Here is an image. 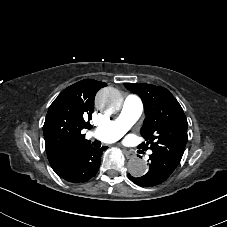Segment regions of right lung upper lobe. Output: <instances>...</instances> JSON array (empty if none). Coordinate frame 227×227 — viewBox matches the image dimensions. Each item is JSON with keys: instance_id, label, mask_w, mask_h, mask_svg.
<instances>
[{"instance_id": "1", "label": "right lung upper lobe", "mask_w": 227, "mask_h": 227, "mask_svg": "<svg viewBox=\"0 0 227 227\" xmlns=\"http://www.w3.org/2000/svg\"><path fill=\"white\" fill-rule=\"evenodd\" d=\"M105 86L104 82L85 79L67 87L51 104L43 132L47 156L54 171H59L76 151L90 145L81 130L92 127L89 120L94 98Z\"/></svg>"}]
</instances>
